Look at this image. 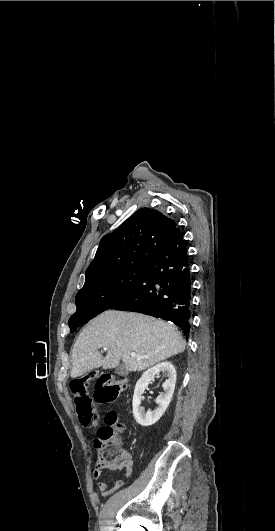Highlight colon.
Here are the masks:
<instances>
[{"label": "colon", "mask_w": 275, "mask_h": 531, "mask_svg": "<svg viewBox=\"0 0 275 531\" xmlns=\"http://www.w3.org/2000/svg\"><path fill=\"white\" fill-rule=\"evenodd\" d=\"M92 379L95 381L94 396H92ZM127 388L126 380L119 375L111 374L105 369L99 373L90 372L72 377V401L77 409V423L95 427L99 415L94 413L96 403L114 401ZM108 418V425H105ZM104 425L99 430L98 445L103 447V467L105 469L118 468L122 464V441L124 438L123 425L118 422L115 411L107 412L103 418ZM123 485L122 480H116L115 488Z\"/></svg>", "instance_id": "colon-1"}]
</instances>
